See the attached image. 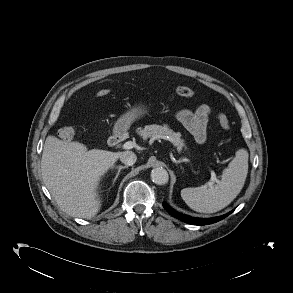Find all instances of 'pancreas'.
<instances>
[{
	"label": "pancreas",
	"mask_w": 293,
	"mask_h": 293,
	"mask_svg": "<svg viewBox=\"0 0 293 293\" xmlns=\"http://www.w3.org/2000/svg\"><path fill=\"white\" fill-rule=\"evenodd\" d=\"M136 132L143 139H167L177 148L178 152H181L185 146L184 141L181 139V134L173 132L168 125H146L143 129L137 128Z\"/></svg>",
	"instance_id": "pancreas-1"
}]
</instances>
